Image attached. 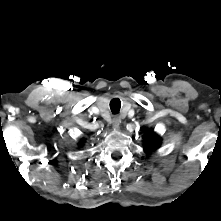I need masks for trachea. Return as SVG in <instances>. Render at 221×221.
Wrapping results in <instances>:
<instances>
[{
	"instance_id": "1",
	"label": "trachea",
	"mask_w": 221,
	"mask_h": 221,
	"mask_svg": "<svg viewBox=\"0 0 221 221\" xmlns=\"http://www.w3.org/2000/svg\"><path fill=\"white\" fill-rule=\"evenodd\" d=\"M121 108V101L118 98H114L110 101V109L113 114L119 113Z\"/></svg>"
}]
</instances>
